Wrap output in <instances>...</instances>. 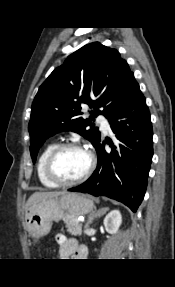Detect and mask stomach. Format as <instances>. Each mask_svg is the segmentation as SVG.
<instances>
[{"mask_svg": "<svg viewBox=\"0 0 175 287\" xmlns=\"http://www.w3.org/2000/svg\"><path fill=\"white\" fill-rule=\"evenodd\" d=\"M94 208L93 201L79 193L65 192L64 194L45 199L30 209L26 215V228L36 242L47 235L53 222H58L66 214L71 216L85 215Z\"/></svg>", "mask_w": 175, "mask_h": 287, "instance_id": "obj_1", "label": "stomach"}]
</instances>
